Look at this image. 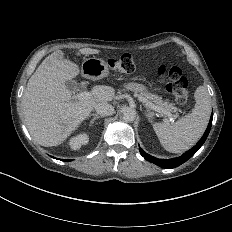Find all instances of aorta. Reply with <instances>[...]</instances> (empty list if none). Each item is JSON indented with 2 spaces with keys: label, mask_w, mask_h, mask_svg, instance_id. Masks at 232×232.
<instances>
[{
  "label": "aorta",
  "mask_w": 232,
  "mask_h": 232,
  "mask_svg": "<svg viewBox=\"0 0 232 232\" xmlns=\"http://www.w3.org/2000/svg\"><path fill=\"white\" fill-rule=\"evenodd\" d=\"M122 116L124 121L131 122L134 121L136 118V110L130 106H123L121 109Z\"/></svg>",
  "instance_id": "1"
}]
</instances>
